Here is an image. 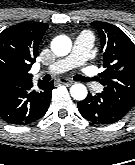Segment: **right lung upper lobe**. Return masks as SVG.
Here are the masks:
<instances>
[{
	"label": "right lung upper lobe",
	"mask_w": 135,
	"mask_h": 165,
	"mask_svg": "<svg viewBox=\"0 0 135 165\" xmlns=\"http://www.w3.org/2000/svg\"><path fill=\"white\" fill-rule=\"evenodd\" d=\"M47 28L46 23H20L0 33V84L32 80L29 71Z\"/></svg>",
	"instance_id": "obj_1"
}]
</instances>
